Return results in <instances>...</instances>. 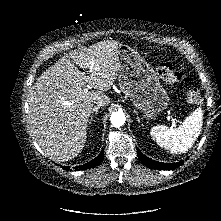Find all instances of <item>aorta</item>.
<instances>
[{"label": "aorta", "mask_w": 221, "mask_h": 221, "mask_svg": "<svg viewBox=\"0 0 221 221\" xmlns=\"http://www.w3.org/2000/svg\"><path fill=\"white\" fill-rule=\"evenodd\" d=\"M110 121L113 126L121 127L124 125L126 118L124 113L117 111L111 114Z\"/></svg>", "instance_id": "obj_1"}]
</instances>
